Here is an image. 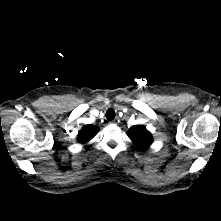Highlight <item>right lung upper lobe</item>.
Listing matches in <instances>:
<instances>
[{
	"label": "right lung upper lobe",
	"mask_w": 221,
	"mask_h": 221,
	"mask_svg": "<svg viewBox=\"0 0 221 221\" xmlns=\"http://www.w3.org/2000/svg\"><path fill=\"white\" fill-rule=\"evenodd\" d=\"M98 132V128L93 125H86L82 130L78 133V141L82 144L91 140L96 133Z\"/></svg>",
	"instance_id": "cb5924a9"
}]
</instances>
